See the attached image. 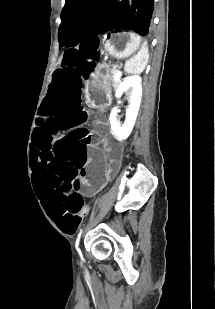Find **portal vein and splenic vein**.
Returning a JSON list of instances; mask_svg holds the SVG:
<instances>
[{"mask_svg": "<svg viewBox=\"0 0 215 309\" xmlns=\"http://www.w3.org/2000/svg\"><path fill=\"white\" fill-rule=\"evenodd\" d=\"M116 74H118V76H120L121 72H116Z\"/></svg>", "mask_w": 215, "mask_h": 309, "instance_id": "1", "label": "portal vein and splenic vein"}]
</instances>
